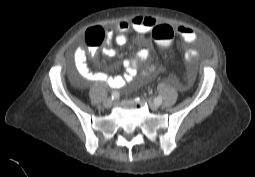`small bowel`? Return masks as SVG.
<instances>
[{
    "label": "small bowel",
    "mask_w": 255,
    "mask_h": 177,
    "mask_svg": "<svg viewBox=\"0 0 255 177\" xmlns=\"http://www.w3.org/2000/svg\"><path fill=\"white\" fill-rule=\"evenodd\" d=\"M157 20L148 16H136L129 21H121L117 25V34L114 33L112 28H107L106 33V45L104 46L102 53L105 57L114 56V49L111 46L112 41L117 45L123 46L127 43L128 34L132 31L139 34L149 33L156 25ZM177 35L187 43L192 45L197 42L196 33L187 26H178L176 28ZM151 44L143 39L136 55L132 59L124 61L125 72L121 75L109 76L103 72H94L91 70L87 63L88 53L83 47H78L73 53V62L75 69L79 76L89 82H99L107 84L114 88H121L128 84L137 86L157 71L159 68L156 65H150L148 68L139 71V64L146 61L152 54ZM96 49H91L90 54L94 56ZM196 56L194 50H189L185 54L186 61L190 62Z\"/></svg>",
    "instance_id": "small-bowel-1"
}]
</instances>
